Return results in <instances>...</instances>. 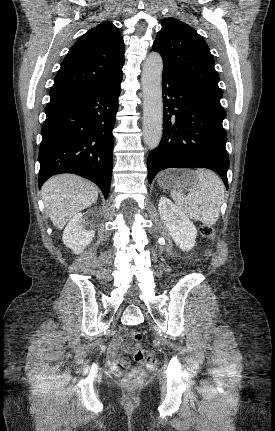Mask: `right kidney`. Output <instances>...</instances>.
I'll return each mask as SVG.
<instances>
[{
    "mask_svg": "<svg viewBox=\"0 0 275 431\" xmlns=\"http://www.w3.org/2000/svg\"><path fill=\"white\" fill-rule=\"evenodd\" d=\"M85 220L82 213H77L69 221L63 232V242L75 254L81 253L95 236L93 230L84 227Z\"/></svg>",
    "mask_w": 275,
    "mask_h": 431,
    "instance_id": "obj_1",
    "label": "right kidney"
}]
</instances>
